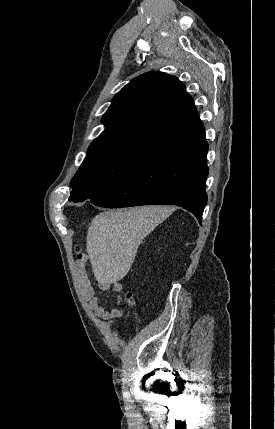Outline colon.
<instances>
[{
    "instance_id": "5ec220e1",
    "label": "colon",
    "mask_w": 275,
    "mask_h": 429,
    "mask_svg": "<svg viewBox=\"0 0 275 429\" xmlns=\"http://www.w3.org/2000/svg\"><path fill=\"white\" fill-rule=\"evenodd\" d=\"M78 259L79 260L83 259V256L80 253L78 254ZM123 301H124V303H126L129 306L132 305L133 304V299H132L131 293H126L124 295Z\"/></svg>"
}]
</instances>
